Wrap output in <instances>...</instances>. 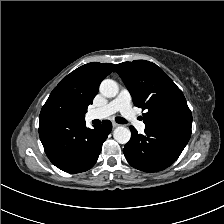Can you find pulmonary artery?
Masks as SVG:
<instances>
[{
  "instance_id": "e3ab8cb5",
  "label": "pulmonary artery",
  "mask_w": 224,
  "mask_h": 224,
  "mask_svg": "<svg viewBox=\"0 0 224 224\" xmlns=\"http://www.w3.org/2000/svg\"><path fill=\"white\" fill-rule=\"evenodd\" d=\"M116 112H120L122 116L126 120L132 122L140 132H143L145 130V123L136 120L134 111L131 108V95L125 88H122L117 97L110 101L108 104L93 110L91 112V117L94 119H102Z\"/></svg>"
}]
</instances>
